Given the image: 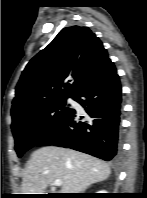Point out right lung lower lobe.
I'll use <instances>...</instances> for the list:
<instances>
[{
  "label": "right lung lower lobe",
  "instance_id": "right-lung-lower-lobe-1",
  "mask_svg": "<svg viewBox=\"0 0 147 198\" xmlns=\"http://www.w3.org/2000/svg\"><path fill=\"white\" fill-rule=\"evenodd\" d=\"M86 111L76 121L74 109L60 126L36 146H60L75 149L106 161L118 153L121 115V84L114 64L109 61L103 70L74 97Z\"/></svg>",
  "mask_w": 147,
  "mask_h": 198
}]
</instances>
